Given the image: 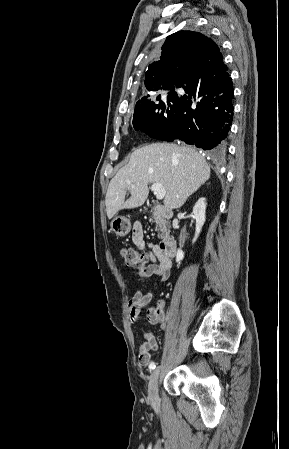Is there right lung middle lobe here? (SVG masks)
I'll return each instance as SVG.
<instances>
[{"mask_svg": "<svg viewBox=\"0 0 289 449\" xmlns=\"http://www.w3.org/2000/svg\"><path fill=\"white\" fill-rule=\"evenodd\" d=\"M178 103L179 96L174 91L169 93L167 101H162L159 95L137 102L133 117L134 129L141 130L150 137L157 136L173 121Z\"/></svg>", "mask_w": 289, "mask_h": 449, "instance_id": "obj_1", "label": "right lung middle lobe"}]
</instances>
